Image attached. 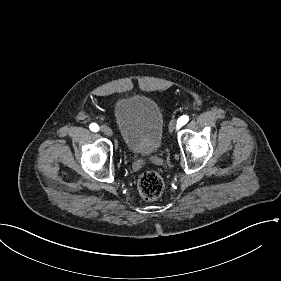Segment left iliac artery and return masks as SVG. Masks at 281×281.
Here are the masks:
<instances>
[{
  "instance_id": "left-iliac-artery-1",
  "label": "left iliac artery",
  "mask_w": 281,
  "mask_h": 281,
  "mask_svg": "<svg viewBox=\"0 0 281 281\" xmlns=\"http://www.w3.org/2000/svg\"><path fill=\"white\" fill-rule=\"evenodd\" d=\"M189 121V117L187 115L181 116L177 121V128L185 125Z\"/></svg>"
}]
</instances>
